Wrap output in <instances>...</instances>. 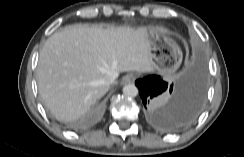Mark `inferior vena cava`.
I'll return each mask as SVG.
<instances>
[{"label":"inferior vena cava","mask_w":244,"mask_h":157,"mask_svg":"<svg viewBox=\"0 0 244 157\" xmlns=\"http://www.w3.org/2000/svg\"><path fill=\"white\" fill-rule=\"evenodd\" d=\"M117 77H118L117 72H110L104 77L103 83L109 86L116 80Z\"/></svg>","instance_id":"obj_1"}]
</instances>
